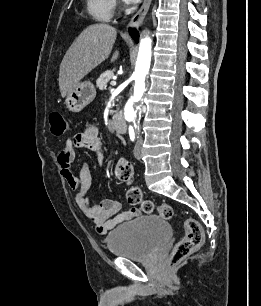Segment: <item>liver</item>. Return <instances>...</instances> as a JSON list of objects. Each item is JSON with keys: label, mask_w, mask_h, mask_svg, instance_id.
Wrapping results in <instances>:
<instances>
[{"label": "liver", "mask_w": 261, "mask_h": 306, "mask_svg": "<svg viewBox=\"0 0 261 306\" xmlns=\"http://www.w3.org/2000/svg\"><path fill=\"white\" fill-rule=\"evenodd\" d=\"M117 31L108 24L88 26L66 52L59 70V89L65 97L80 81L111 53ZM119 56L115 51L111 62Z\"/></svg>", "instance_id": "6515ba94"}]
</instances>
